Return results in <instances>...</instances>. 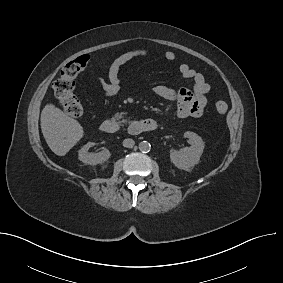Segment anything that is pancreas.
Masks as SVG:
<instances>
[{"mask_svg":"<svg viewBox=\"0 0 283 283\" xmlns=\"http://www.w3.org/2000/svg\"><path fill=\"white\" fill-rule=\"evenodd\" d=\"M115 118H116L117 120H120V119L122 118V115H121V114H117V115L115 116ZM126 122H127L126 120H121V121H119V123H121V124L126 123Z\"/></svg>","mask_w":283,"mask_h":283,"instance_id":"obj_1","label":"pancreas"}]
</instances>
